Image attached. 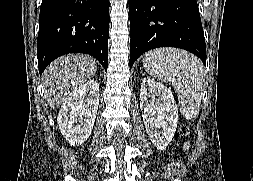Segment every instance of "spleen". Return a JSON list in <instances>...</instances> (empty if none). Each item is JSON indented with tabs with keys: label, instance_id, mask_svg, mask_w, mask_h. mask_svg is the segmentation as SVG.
Instances as JSON below:
<instances>
[{
	"label": "spleen",
	"instance_id": "spleen-1",
	"mask_svg": "<svg viewBox=\"0 0 253 181\" xmlns=\"http://www.w3.org/2000/svg\"><path fill=\"white\" fill-rule=\"evenodd\" d=\"M143 67L150 76L172 83L181 113L186 119L198 114L203 94L204 68L197 57L180 49L160 48L146 53Z\"/></svg>",
	"mask_w": 253,
	"mask_h": 181
}]
</instances>
